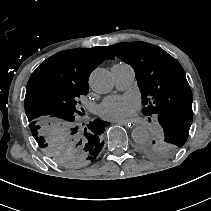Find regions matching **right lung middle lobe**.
Wrapping results in <instances>:
<instances>
[{"mask_svg": "<svg viewBox=\"0 0 211 211\" xmlns=\"http://www.w3.org/2000/svg\"><path fill=\"white\" fill-rule=\"evenodd\" d=\"M86 94L71 87L44 86L32 99L29 122L33 137L48 158L67 167L93 162L89 150L109 125L80 117L83 113L77 110L78 98Z\"/></svg>", "mask_w": 211, "mask_h": 211, "instance_id": "dd1d6c3e", "label": "right lung middle lobe"}]
</instances>
